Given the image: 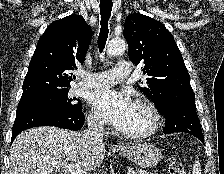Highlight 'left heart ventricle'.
I'll return each instance as SVG.
<instances>
[{
	"label": "left heart ventricle",
	"mask_w": 224,
	"mask_h": 174,
	"mask_svg": "<svg viewBox=\"0 0 224 174\" xmlns=\"http://www.w3.org/2000/svg\"><path fill=\"white\" fill-rule=\"evenodd\" d=\"M150 125L151 117L147 110L134 104L126 122L120 130L128 133L140 132L146 130Z\"/></svg>",
	"instance_id": "obj_1"
}]
</instances>
